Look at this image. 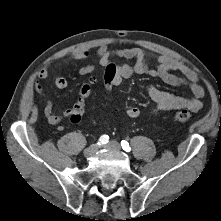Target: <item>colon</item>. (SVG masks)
<instances>
[{
  "label": "colon",
  "instance_id": "colon-1",
  "mask_svg": "<svg viewBox=\"0 0 221 221\" xmlns=\"http://www.w3.org/2000/svg\"><path fill=\"white\" fill-rule=\"evenodd\" d=\"M120 66L117 61L111 60L106 63L105 69L101 71L100 74V86L103 89H110L113 86V81L116 78V75L119 72ZM92 82V79H90V83ZM90 84L86 83L84 84L78 93L77 101L75 102L73 106V113L70 116V120L74 123H77L81 120L84 111H85V103L87 98L90 95ZM191 118V114L187 110H181L174 114L173 119L176 122H187Z\"/></svg>",
  "mask_w": 221,
  "mask_h": 221
}]
</instances>
